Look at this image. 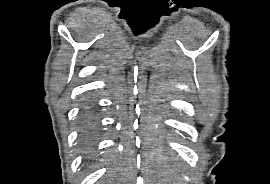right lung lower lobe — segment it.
I'll return each mask as SVG.
<instances>
[{
  "instance_id": "right-lung-lower-lobe-1",
  "label": "right lung lower lobe",
  "mask_w": 270,
  "mask_h": 184,
  "mask_svg": "<svg viewBox=\"0 0 270 184\" xmlns=\"http://www.w3.org/2000/svg\"><path fill=\"white\" fill-rule=\"evenodd\" d=\"M95 131L94 123L91 119V112L89 109H86L83 115V122H82V138L85 141H89Z\"/></svg>"
}]
</instances>
